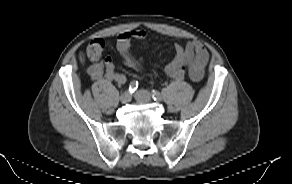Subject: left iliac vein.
Here are the masks:
<instances>
[{
	"instance_id": "obj_1",
	"label": "left iliac vein",
	"mask_w": 292,
	"mask_h": 184,
	"mask_svg": "<svg viewBox=\"0 0 292 184\" xmlns=\"http://www.w3.org/2000/svg\"><path fill=\"white\" fill-rule=\"evenodd\" d=\"M134 97L139 103H149L152 99L151 93L146 90L137 91Z\"/></svg>"
}]
</instances>
